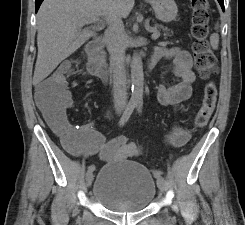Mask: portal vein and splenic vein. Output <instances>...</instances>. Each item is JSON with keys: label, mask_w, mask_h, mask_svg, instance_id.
Instances as JSON below:
<instances>
[{"label": "portal vein and splenic vein", "mask_w": 245, "mask_h": 225, "mask_svg": "<svg viewBox=\"0 0 245 225\" xmlns=\"http://www.w3.org/2000/svg\"><path fill=\"white\" fill-rule=\"evenodd\" d=\"M98 21H100L99 17L86 20V21H84V24L95 23V22H98ZM159 36H160V32L158 30L154 29L153 30V34H152V39L156 40V39L159 38Z\"/></svg>", "instance_id": "18ae733b"}]
</instances>
